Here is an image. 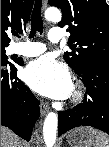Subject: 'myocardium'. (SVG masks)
Here are the masks:
<instances>
[{"label":"myocardium","mask_w":109,"mask_h":147,"mask_svg":"<svg viewBox=\"0 0 109 147\" xmlns=\"http://www.w3.org/2000/svg\"><path fill=\"white\" fill-rule=\"evenodd\" d=\"M85 93L86 92L84 85L82 84V82L77 81L73 85V90L71 93V103L79 104L80 102H82L85 97Z\"/></svg>","instance_id":"obj_1"}]
</instances>
